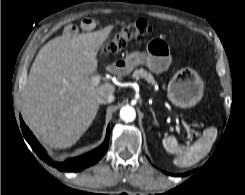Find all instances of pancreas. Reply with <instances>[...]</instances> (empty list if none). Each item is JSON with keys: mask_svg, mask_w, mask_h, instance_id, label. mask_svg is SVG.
<instances>
[{"mask_svg": "<svg viewBox=\"0 0 245 195\" xmlns=\"http://www.w3.org/2000/svg\"><path fill=\"white\" fill-rule=\"evenodd\" d=\"M132 77L135 79L144 78L149 84L156 85V82L151 73L147 72L143 68L135 70L132 74Z\"/></svg>", "mask_w": 245, "mask_h": 195, "instance_id": "pancreas-1", "label": "pancreas"}]
</instances>
